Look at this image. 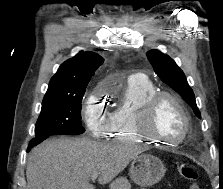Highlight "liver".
Segmentation results:
<instances>
[{"label":"liver","instance_id":"1","mask_svg":"<svg viewBox=\"0 0 223 189\" xmlns=\"http://www.w3.org/2000/svg\"><path fill=\"white\" fill-rule=\"evenodd\" d=\"M143 151L131 143H99L89 138H52L33 148L26 167L27 189H94L89 178L111 182Z\"/></svg>","mask_w":223,"mask_h":189}]
</instances>
